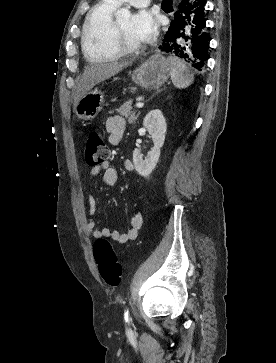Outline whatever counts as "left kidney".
I'll return each mask as SVG.
<instances>
[{"label":"left kidney","instance_id":"left-kidney-1","mask_svg":"<svg viewBox=\"0 0 276 363\" xmlns=\"http://www.w3.org/2000/svg\"><path fill=\"white\" fill-rule=\"evenodd\" d=\"M143 126L148 130L154 146L145 158H143L141 150L136 148L133 151V163L139 175L148 177L159 161L161 148L165 141L167 124L161 110L150 111L143 120Z\"/></svg>","mask_w":276,"mask_h":363}]
</instances>
